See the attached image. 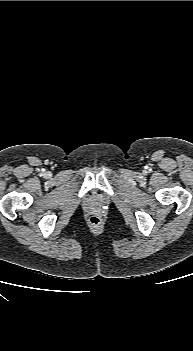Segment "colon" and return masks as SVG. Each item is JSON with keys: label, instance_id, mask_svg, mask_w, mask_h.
I'll use <instances>...</instances> for the list:
<instances>
[{"label": "colon", "instance_id": "colon-1", "mask_svg": "<svg viewBox=\"0 0 193 351\" xmlns=\"http://www.w3.org/2000/svg\"><path fill=\"white\" fill-rule=\"evenodd\" d=\"M89 222L93 226H98L101 223L100 219L98 217H96V216H92L90 218Z\"/></svg>", "mask_w": 193, "mask_h": 351}]
</instances>
